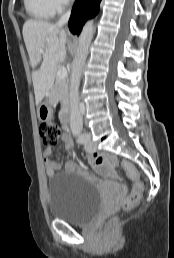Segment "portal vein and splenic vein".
<instances>
[{"mask_svg":"<svg viewBox=\"0 0 174 258\" xmlns=\"http://www.w3.org/2000/svg\"><path fill=\"white\" fill-rule=\"evenodd\" d=\"M42 53H43V50H40ZM57 76L60 78V79H64V78H66V76H67V71H66V69H59L58 71H57Z\"/></svg>","mask_w":174,"mask_h":258,"instance_id":"portal-vein-and-splenic-vein-1","label":"portal vein and splenic vein"}]
</instances>
